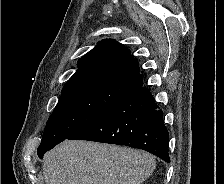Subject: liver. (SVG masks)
I'll list each match as a JSON object with an SVG mask.
<instances>
[{"mask_svg":"<svg viewBox=\"0 0 224 184\" xmlns=\"http://www.w3.org/2000/svg\"><path fill=\"white\" fill-rule=\"evenodd\" d=\"M155 167L145 151L89 141L66 140L43 160L46 184H142Z\"/></svg>","mask_w":224,"mask_h":184,"instance_id":"1","label":"liver"}]
</instances>
